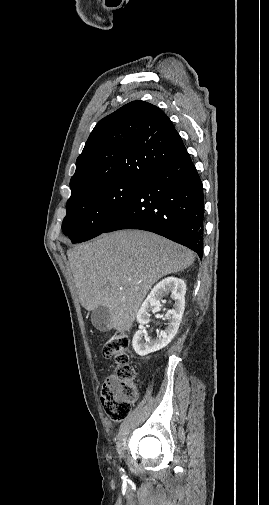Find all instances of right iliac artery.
Wrapping results in <instances>:
<instances>
[{
	"mask_svg": "<svg viewBox=\"0 0 269 505\" xmlns=\"http://www.w3.org/2000/svg\"><path fill=\"white\" fill-rule=\"evenodd\" d=\"M120 471H122V472H123L124 470H123V469H120Z\"/></svg>",
	"mask_w": 269,
	"mask_h": 505,
	"instance_id": "obj_1",
	"label": "right iliac artery"
}]
</instances>
